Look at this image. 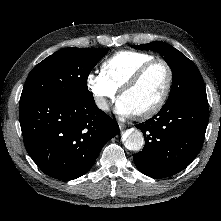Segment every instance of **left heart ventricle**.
<instances>
[{"label":"left heart ventricle","instance_id":"left-heart-ventricle-1","mask_svg":"<svg viewBox=\"0 0 221 221\" xmlns=\"http://www.w3.org/2000/svg\"><path fill=\"white\" fill-rule=\"evenodd\" d=\"M167 83V71L158 63L150 67L141 80L120 98L133 111H144L152 107L162 96Z\"/></svg>","mask_w":221,"mask_h":221}]
</instances>
